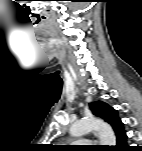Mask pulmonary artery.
Wrapping results in <instances>:
<instances>
[{"label": "pulmonary artery", "mask_w": 142, "mask_h": 151, "mask_svg": "<svg viewBox=\"0 0 142 151\" xmlns=\"http://www.w3.org/2000/svg\"><path fill=\"white\" fill-rule=\"evenodd\" d=\"M74 144H88L89 141L88 140H85V139H80V140H77L75 142H73Z\"/></svg>", "instance_id": "obj_1"}]
</instances>
